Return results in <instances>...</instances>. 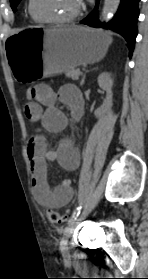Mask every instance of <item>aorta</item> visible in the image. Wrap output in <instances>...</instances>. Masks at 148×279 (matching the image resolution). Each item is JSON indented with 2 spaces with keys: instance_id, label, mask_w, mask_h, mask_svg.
<instances>
[{
  "instance_id": "aorta-1",
  "label": "aorta",
  "mask_w": 148,
  "mask_h": 279,
  "mask_svg": "<svg viewBox=\"0 0 148 279\" xmlns=\"http://www.w3.org/2000/svg\"><path fill=\"white\" fill-rule=\"evenodd\" d=\"M120 4V0H104L101 17L103 21H109L116 13Z\"/></svg>"
}]
</instances>
